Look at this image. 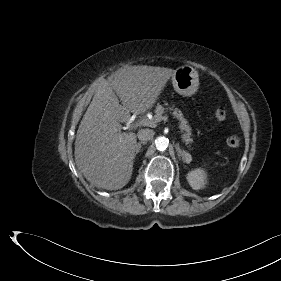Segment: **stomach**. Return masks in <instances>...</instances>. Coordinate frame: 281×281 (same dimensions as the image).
I'll use <instances>...</instances> for the list:
<instances>
[{
    "label": "stomach",
    "instance_id": "1",
    "mask_svg": "<svg viewBox=\"0 0 281 281\" xmlns=\"http://www.w3.org/2000/svg\"><path fill=\"white\" fill-rule=\"evenodd\" d=\"M174 90L183 96L195 94L199 87V75L194 68L188 65L181 66L172 75Z\"/></svg>",
    "mask_w": 281,
    "mask_h": 281
}]
</instances>
